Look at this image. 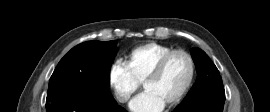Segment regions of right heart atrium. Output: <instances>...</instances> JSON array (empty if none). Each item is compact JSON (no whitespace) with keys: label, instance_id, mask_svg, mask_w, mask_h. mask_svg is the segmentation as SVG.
I'll list each match as a JSON object with an SVG mask.
<instances>
[{"label":"right heart atrium","instance_id":"right-heart-atrium-1","mask_svg":"<svg viewBox=\"0 0 270 112\" xmlns=\"http://www.w3.org/2000/svg\"><path fill=\"white\" fill-rule=\"evenodd\" d=\"M107 80L115 99L121 104L127 103L141 86V83L134 78L125 63L119 60L110 65Z\"/></svg>","mask_w":270,"mask_h":112}]
</instances>
